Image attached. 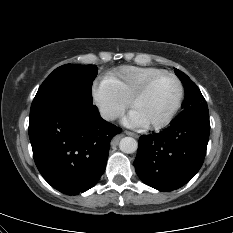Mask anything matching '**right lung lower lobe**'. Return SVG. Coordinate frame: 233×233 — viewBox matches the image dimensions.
Here are the masks:
<instances>
[{"mask_svg": "<svg viewBox=\"0 0 233 233\" xmlns=\"http://www.w3.org/2000/svg\"><path fill=\"white\" fill-rule=\"evenodd\" d=\"M121 129L94 105L59 106L30 113L29 137L43 178L67 195L92 188L105 171L110 141Z\"/></svg>", "mask_w": 233, "mask_h": 233, "instance_id": "1", "label": "right lung lower lobe"}]
</instances>
